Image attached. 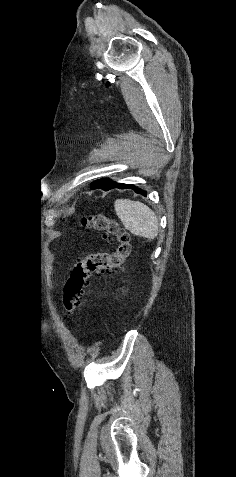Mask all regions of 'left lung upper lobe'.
<instances>
[{"instance_id": "left-lung-upper-lobe-1", "label": "left lung upper lobe", "mask_w": 236, "mask_h": 477, "mask_svg": "<svg viewBox=\"0 0 236 477\" xmlns=\"http://www.w3.org/2000/svg\"><path fill=\"white\" fill-rule=\"evenodd\" d=\"M118 184L117 182H114L110 179H102L98 180L92 183L91 188L96 189V188H101L105 191L110 190L113 186Z\"/></svg>"}]
</instances>
